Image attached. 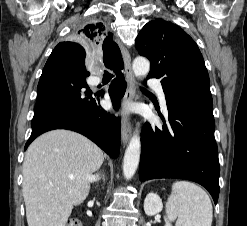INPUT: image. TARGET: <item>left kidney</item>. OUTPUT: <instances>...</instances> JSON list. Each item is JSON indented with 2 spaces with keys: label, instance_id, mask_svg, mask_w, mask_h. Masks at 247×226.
<instances>
[{
  "label": "left kidney",
  "instance_id": "left-kidney-1",
  "mask_svg": "<svg viewBox=\"0 0 247 226\" xmlns=\"http://www.w3.org/2000/svg\"><path fill=\"white\" fill-rule=\"evenodd\" d=\"M163 208L162 200L156 193H149L144 201V211L146 215L153 216L161 212ZM165 226H172L170 222L165 218Z\"/></svg>",
  "mask_w": 247,
  "mask_h": 226
}]
</instances>
